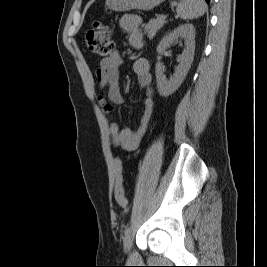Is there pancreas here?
I'll return each instance as SVG.
<instances>
[{
    "mask_svg": "<svg viewBox=\"0 0 267 267\" xmlns=\"http://www.w3.org/2000/svg\"><path fill=\"white\" fill-rule=\"evenodd\" d=\"M165 23V18L157 17V19H151L144 27L147 37L152 39Z\"/></svg>",
    "mask_w": 267,
    "mask_h": 267,
    "instance_id": "obj_1",
    "label": "pancreas"
}]
</instances>
